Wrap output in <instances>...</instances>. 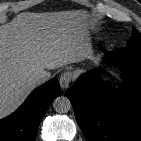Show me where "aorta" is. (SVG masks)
<instances>
[{"instance_id": "obj_1", "label": "aorta", "mask_w": 141, "mask_h": 141, "mask_svg": "<svg viewBox=\"0 0 141 141\" xmlns=\"http://www.w3.org/2000/svg\"><path fill=\"white\" fill-rule=\"evenodd\" d=\"M53 107L58 113H67L71 109V102L67 97L59 96L53 101Z\"/></svg>"}]
</instances>
